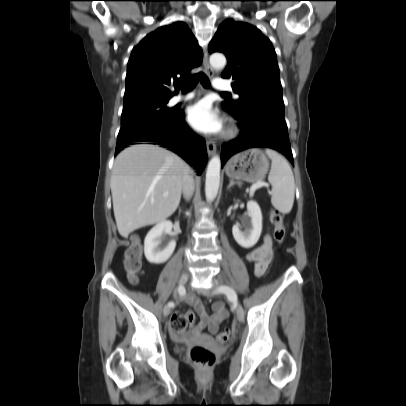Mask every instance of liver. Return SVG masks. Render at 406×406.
<instances>
[{
    "label": "liver",
    "mask_w": 406,
    "mask_h": 406,
    "mask_svg": "<svg viewBox=\"0 0 406 406\" xmlns=\"http://www.w3.org/2000/svg\"><path fill=\"white\" fill-rule=\"evenodd\" d=\"M188 165L174 153L137 144L115 159L111 193L119 234L127 238L141 227L164 221L179 206L182 176ZM168 193V196H163Z\"/></svg>",
    "instance_id": "1"
}]
</instances>
